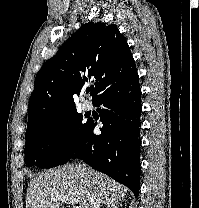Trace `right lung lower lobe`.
I'll list each match as a JSON object with an SVG mask.
<instances>
[{
    "mask_svg": "<svg viewBox=\"0 0 199 208\" xmlns=\"http://www.w3.org/2000/svg\"><path fill=\"white\" fill-rule=\"evenodd\" d=\"M94 105L100 110L101 134L93 132L89 121L77 149L70 159L79 158L127 186L138 196L140 186L141 89L136 74L127 82L101 94Z\"/></svg>",
    "mask_w": 199,
    "mask_h": 208,
    "instance_id": "1",
    "label": "right lung lower lobe"
}]
</instances>
